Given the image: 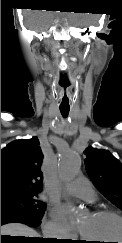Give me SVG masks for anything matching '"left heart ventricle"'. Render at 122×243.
I'll list each match as a JSON object with an SVG mask.
<instances>
[{"label":"left heart ventricle","mask_w":122,"mask_h":243,"mask_svg":"<svg viewBox=\"0 0 122 243\" xmlns=\"http://www.w3.org/2000/svg\"><path fill=\"white\" fill-rule=\"evenodd\" d=\"M79 228L84 237L94 239L88 241L89 243H101L113 238L122 239V222L113 216L88 214L80 220Z\"/></svg>","instance_id":"left-heart-ventricle-1"}]
</instances>
